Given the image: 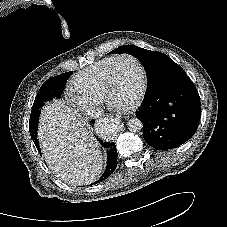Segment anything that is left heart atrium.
Wrapping results in <instances>:
<instances>
[{"label": "left heart atrium", "mask_w": 227, "mask_h": 227, "mask_svg": "<svg viewBox=\"0 0 227 227\" xmlns=\"http://www.w3.org/2000/svg\"><path fill=\"white\" fill-rule=\"evenodd\" d=\"M124 106H125V105H123V106H122V105H121V106L118 105V107H120V108H123Z\"/></svg>", "instance_id": "obj_1"}]
</instances>
